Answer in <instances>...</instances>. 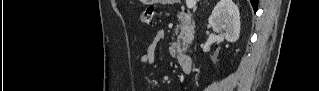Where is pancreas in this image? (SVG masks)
<instances>
[{
    "label": "pancreas",
    "mask_w": 319,
    "mask_h": 91,
    "mask_svg": "<svg viewBox=\"0 0 319 91\" xmlns=\"http://www.w3.org/2000/svg\"><path fill=\"white\" fill-rule=\"evenodd\" d=\"M178 21L180 24L176 29L177 41L172 44L170 50L171 56L176 58L182 57L194 35V28L190 24L191 18L187 14L180 13Z\"/></svg>",
    "instance_id": "cf45deb5"
}]
</instances>
